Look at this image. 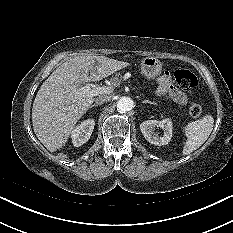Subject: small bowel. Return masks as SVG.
Returning a JSON list of instances; mask_svg holds the SVG:
<instances>
[{
    "label": "small bowel",
    "mask_w": 233,
    "mask_h": 233,
    "mask_svg": "<svg viewBox=\"0 0 233 233\" xmlns=\"http://www.w3.org/2000/svg\"><path fill=\"white\" fill-rule=\"evenodd\" d=\"M158 93L160 95H168L179 105L187 103V96L172 84L170 76L167 74L163 75L158 80Z\"/></svg>",
    "instance_id": "obj_1"
}]
</instances>
